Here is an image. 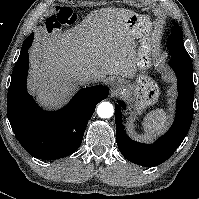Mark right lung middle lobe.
<instances>
[{"label": "right lung middle lobe", "mask_w": 199, "mask_h": 199, "mask_svg": "<svg viewBox=\"0 0 199 199\" xmlns=\"http://www.w3.org/2000/svg\"><path fill=\"white\" fill-rule=\"evenodd\" d=\"M31 38H32L31 40H30V39H27V40H26V42H29V45H28V46H25L26 42H24L23 45H22L21 50H23V48H25V47H27V48L30 47V45H31V43H32V41H33L34 36H32Z\"/></svg>", "instance_id": "right-lung-middle-lobe-1"}]
</instances>
